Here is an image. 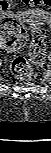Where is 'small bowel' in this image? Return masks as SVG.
Instances as JSON below:
<instances>
[{"label": "small bowel", "instance_id": "1", "mask_svg": "<svg viewBox=\"0 0 51 153\" xmlns=\"http://www.w3.org/2000/svg\"><path fill=\"white\" fill-rule=\"evenodd\" d=\"M1 4L3 5L4 9H9V3L5 0L1 1Z\"/></svg>", "mask_w": 51, "mask_h": 153}]
</instances>
